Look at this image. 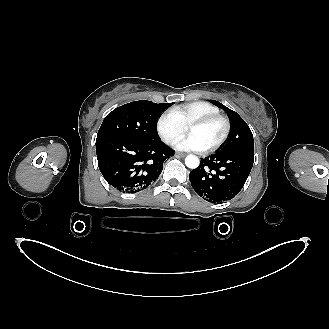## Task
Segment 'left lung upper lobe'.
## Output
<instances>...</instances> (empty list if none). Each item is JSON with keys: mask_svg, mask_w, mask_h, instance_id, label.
<instances>
[{"mask_svg": "<svg viewBox=\"0 0 329 329\" xmlns=\"http://www.w3.org/2000/svg\"><path fill=\"white\" fill-rule=\"evenodd\" d=\"M219 108H222L228 115L231 124V132L228 141L221 148V153L243 152L254 154V140L252 132L246 122L235 111L227 108L216 100H210Z\"/></svg>", "mask_w": 329, "mask_h": 329, "instance_id": "5c2ea615", "label": "left lung upper lobe"}]
</instances>
